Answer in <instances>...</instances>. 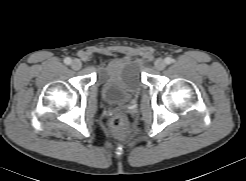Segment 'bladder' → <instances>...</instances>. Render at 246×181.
I'll list each match as a JSON object with an SVG mask.
<instances>
[{"label": "bladder", "instance_id": "obj_1", "mask_svg": "<svg viewBox=\"0 0 246 181\" xmlns=\"http://www.w3.org/2000/svg\"><path fill=\"white\" fill-rule=\"evenodd\" d=\"M107 102L126 100L142 86L141 72L137 63L117 59L106 63L98 73Z\"/></svg>", "mask_w": 246, "mask_h": 181}]
</instances>
